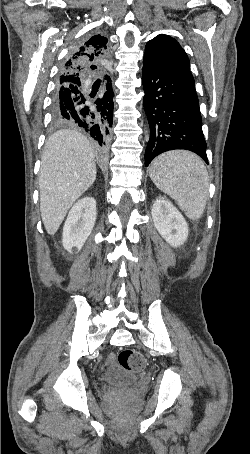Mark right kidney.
<instances>
[{"label": "right kidney", "mask_w": 250, "mask_h": 454, "mask_svg": "<svg viewBox=\"0 0 250 454\" xmlns=\"http://www.w3.org/2000/svg\"><path fill=\"white\" fill-rule=\"evenodd\" d=\"M96 214V200L92 197H84L74 204L63 227L64 249L70 253L73 247L82 249L93 230Z\"/></svg>", "instance_id": "obj_1"}]
</instances>
